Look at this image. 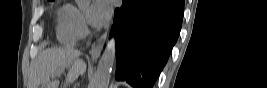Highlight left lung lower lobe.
<instances>
[{
    "mask_svg": "<svg viewBox=\"0 0 267 88\" xmlns=\"http://www.w3.org/2000/svg\"><path fill=\"white\" fill-rule=\"evenodd\" d=\"M183 0H123L115 10L116 79L152 88L180 33Z\"/></svg>",
    "mask_w": 267,
    "mask_h": 88,
    "instance_id": "obj_1",
    "label": "left lung lower lobe"
}]
</instances>
